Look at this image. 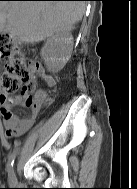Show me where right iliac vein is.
<instances>
[{"mask_svg": "<svg viewBox=\"0 0 137 189\" xmlns=\"http://www.w3.org/2000/svg\"><path fill=\"white\" fill-rule=\"evenodd\" d=\"M11 176H12L13 182H14L15 181V173L13 172V174ZM13 182H11V183H13Z\"/></svg>", "mask_w": 137, "mask_h": 189, "instance_id": "right-iliac-vein-1", "label": "right iliac vein"}]
</instances>
